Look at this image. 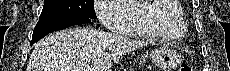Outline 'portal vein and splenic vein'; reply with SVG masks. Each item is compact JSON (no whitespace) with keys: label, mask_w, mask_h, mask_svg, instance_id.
<instances>
[{"label":"portal vein and splenic vein","mask_w":230,"mask_h":71,"mask_svg":"<svg viewBox=\"0 0 230 71\" xmlns=\"http://www.w3.org/2000/svg\"><path fill=\"white\" fill-rule=\"evenodd\" d=\"M78 71H97V70L94 68L82 67V68L78 69Z\"/></svg>","instance_id":"18ae733b"}]
</instances>
